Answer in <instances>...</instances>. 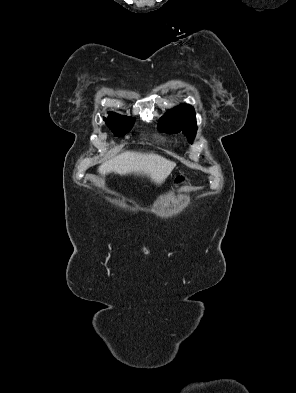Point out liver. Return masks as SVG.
<instances>
[{"instance_id": "1", "label": "liver", "mask_w": 296, "mask_h": 393, "mask_svg": "<svg viewBox=\"0 0 296 393\" xmlns=\"http://www.w3.org/2000/svg\"><path fill=\"white\" fill-rule=\"evenodd\" d=\"M175 165L174 162L153 152L126 151L102 163L98 172L103 176L112 172L120 175H142L147 176L157 184H162ZM98 185L103 187L104 181L98 182Z\"/></svg>"}]
</instances>
